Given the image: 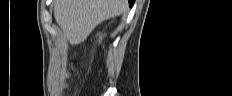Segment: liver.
Here are the masks:
<instances>
[{
  "label": "liver",
  "instance_id": "obj_1",
  "mask_svg": "<svg viewBox=\"0 0 232 96\" xmlns=\"http://www.w3.org/2000/svg\"><path fill=\"white\" fill-rule=\"evenodd\" d=\"M128 0H55L54 17L70 44L83 42L101 22L124 13Z\"/></svg>",
  "mask_w": 232,
  "mask_h": 96
}]
</instances>
